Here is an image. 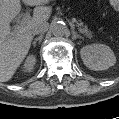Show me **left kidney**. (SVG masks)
I'll return each mask as SVG.
<instances>
[{
    "mask_svg": "<svg viewBox=\"0 0 119 119\" xmlns=\"http://www.w3.org/2000/svg\"><path fill=\"white\" fill-rule=\"evenodd\" d=\"M80 55L84 65L95 71L106 70L116 62L113 51L104 44L84 46L80 51Z\"/></svg>",
    "mask_w": 119,
    "mask_h": 119,
    "instance_id": "1",
    "label": "left kidney"
}]
</instances>
